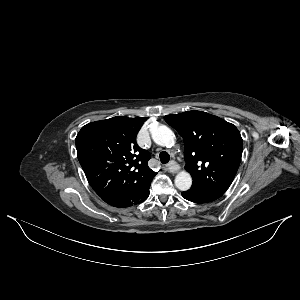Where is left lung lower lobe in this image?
<instances>
[{
	"label": "left lung lower lobe",
	"mask_w": 300,
	"mask_h": 300,
	"mask_svg": "<svg viewBox=\"0 0 300 300\" xmlns=\"http://www.w3.org/2000/svg\"><path fill=\"white\" fill-rule=\"evenodd\" d=\"M223 193L206 191L191 187L189 190L182 192V196L191 202L208 203L220 198Z\"/></svg>",
	"instance_id": "1"
}]
</instances>
